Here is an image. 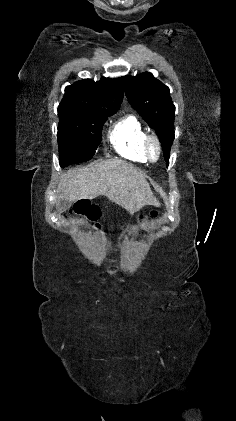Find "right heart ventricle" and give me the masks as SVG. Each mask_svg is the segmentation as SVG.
Segmentation results:
<instances>
[{"mask_svg":"<svg viewBox=\"0 0 236 421\" xmlns=\"http://www.w3.org/2000/svg\"><path fill=\"white\" fill-rule=\"evenodd\" d=\"M146 135L140 119L134 114H127L114 123L108 138L112 148L119 155L135 162L144 163L147 161L143 149Z\"/></svg>","mask_w":236,"mask_h":421,"instance_id":"e07e8e85","label":"right heart ventricle"}]
</instances>
